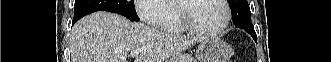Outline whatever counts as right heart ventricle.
<instances>
[{
    "mask_svg": "<svg viewBox=\"0 0 331 62\" xmlns=\"http://www.w3.org/2000/svg\"><path fill=\"white\" fill-rule=\"evenodd\" d=\"M166 8L170 12V18L168 22L164 25L163 28H160L167 32H182L184 31V27L179 21V17L175 8V5L172 3L171 5H167Z\"/></svg>",
    "mask_w": 331,
    "mask_h": 62,
    "instance_id": "right-heart-ventricle-1",
    "label": "right heart ventricle"
}]
</instances>
